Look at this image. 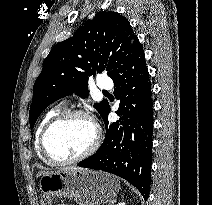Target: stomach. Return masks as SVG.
<instances>
[{
	"mask_svg": "<svg viewBox=\"0 0 212 205\" xmlns=\"http://www.w3.org/2000/svg\"><path fill=\"white\" fill-rule=\"evenodd\" d=\"M40 190L56 198H68L79 205H100L114 200L120 190L118 179L110 174L77 169H60L44 174Z\"/></svg>",
	"mask_w": 212,
	"mask_h": 205,
	"instance_id": "0dacf381",
	"label": "stomach"
}]
</instances>
